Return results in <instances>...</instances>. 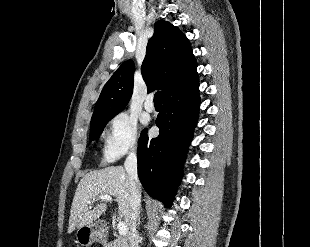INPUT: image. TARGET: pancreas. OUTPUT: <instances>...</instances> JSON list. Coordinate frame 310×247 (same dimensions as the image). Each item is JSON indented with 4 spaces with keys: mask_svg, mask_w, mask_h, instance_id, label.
Listing matches in <instances>:
<instances>
[{
    "mask_svg": "<svg viewBox=\"0 0 310 247\" xmlns=\"http://www.w3.org/2000/svg\"><path fill=\"white\" fill-rule=\"evenodd\" d=\"M107 247H128L126 238L117 237L114 241L110 242Z\"/></svg>",
    "mask_w": 310,
    "mask_h": 247,
    "instance_id": "cf45deb5",
    "label": "pancreas"
}]
</instances>
